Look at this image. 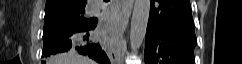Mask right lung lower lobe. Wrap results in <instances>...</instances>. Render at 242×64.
<instances>
[{
    "mask_svg": "<svg viewBox=\"0 0 242 64\" xmlns=\"http://www.w3.org/2000/svg\"><path fill=\"white\" fill-rule=\"evenodd\" d=\"M96 24L97 21L90 27L73 29L52 37L44 45L43 58H48L57 53L74 51L82 55H88L99 64H110V60L100 44L93 41L92 35ZM42 64H45V61Z\"/></svg>",
    "mask_w": 242,
    "mask_h": 64,
    "instance_id": "1",
    "label": "right lung lower lobe"
}]
</instances>
